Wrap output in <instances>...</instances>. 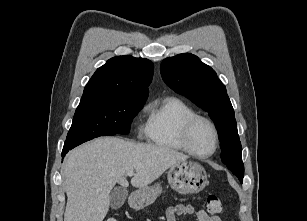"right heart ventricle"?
Listing matches in <instances>:
<instances>
[{"mask_svg": "<svg viewBox=\"0 0 307 221\" xmlns=\"http://www.w3.org/2000/svg\"><path fill=\"white\" fill-rule=\"evenodd\" d=\"M195 111L183 100L165 97L148 105V119L144 128L147 139L153 144L174 151H184L179 134L183 123Z\"/></svg>", "mask_w": 307, "mask_h": 221, "instance_id": "obj_1", "label": "right heart ventricle"}]
</instances>
